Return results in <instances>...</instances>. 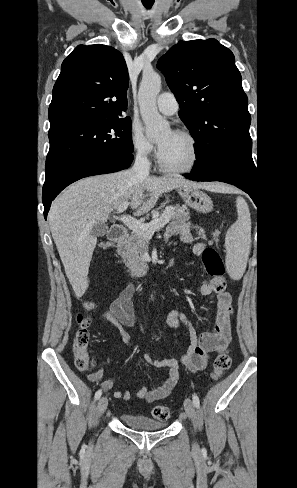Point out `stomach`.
Here are the masks:
<instances>
[{"mask_svg": "<svg viewBox=\"0 0 297 488\" xmlns=\"http://www.w3.org/2000/svg\"><path fill=\"white\" fill-rule=\"evenodd\" d=\"M185 203L200 213H209L213 209L211 198L199 188L181 187L178 189Z\"/></svg>", "mask_w": 297, "mask_h": 488, "instance_id": "1", "label": "stomach"}]
</instances>
